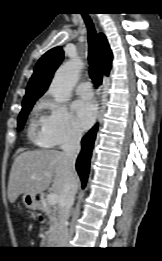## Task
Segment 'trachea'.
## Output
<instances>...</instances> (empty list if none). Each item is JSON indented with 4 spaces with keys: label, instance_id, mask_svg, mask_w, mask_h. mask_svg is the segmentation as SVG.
I'll return each instance as SVG.
<instances>
[{
    "label": "trachea",
    "instance_id": "trachea-1",
    "mask_svg": "<svg viewBox=\"0 0 162 261\" xmlns=\"http://www.w3.org/2000/svg\"><path fill=\"white\" fill-rule=\"evenodd\" d=\"M86 26L88 28V42H89V74L93 83L98 86L102 83V74H101V63L98 55V45L96 41V31L93 26L92 20L90 17L83 13L82 14Z\"/></svg>",
    "mask_w": 162,
    "mask_h": 261
}]
</instances>
